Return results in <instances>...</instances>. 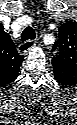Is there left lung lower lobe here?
<instances>
[{
    "instance_id": "1",
    "label": "left lung lower lobe",
    "mask_w": 77,
    "mask_h": 125,
    "mask_svg": "<svg viewBox=\"0 0 77 125\" xmlns=\"http://www.w3.org/2000/svg\"><path fill=\"white\" fill-rule=\"evenodd\" d=\"M73 71L74 68L71 66L53 64L55 79L63 85L71 83Z\"/></svg>"
}]
</instances>
